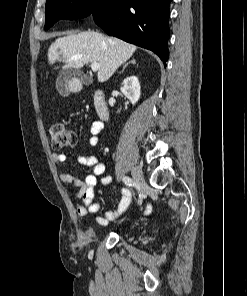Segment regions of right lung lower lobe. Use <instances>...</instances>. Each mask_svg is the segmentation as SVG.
Returning a JSON list of instances; mask_svg holds the SVG:
<instances>
[{"label": "right lung lower lobe", "instance_id": "right-lung-lower-lobe-1", "mask_svg": "<svg viewBox=\"0 0 247 296\" xmlns=\"http://www.w3.org/2000/svg\"><path fill=\"white\" fill-rule=\"evenodd\" d=\"M171 0H111L108 8L93 13L95 22L110 36L149 49L165 63L170 35ZM166 66V64H164Z\"/></svg>", "mask_w": 247, "mask_h": 296}]
</instances>
